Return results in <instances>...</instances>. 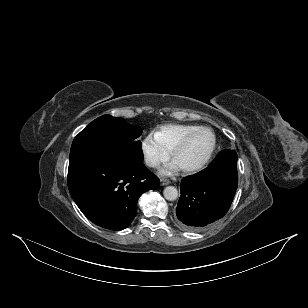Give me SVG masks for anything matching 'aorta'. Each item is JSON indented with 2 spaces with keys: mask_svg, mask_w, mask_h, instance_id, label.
I'll return each mask as SVG.
<instances>
[{
  "mask_svg": "<svg viewBox=\"0 0 308 308\" xmlns=\"http://www.w3.org/2000/svg\"><path fill=\"white\" fill-rule=\"evenodd\" d=\"M164 197L169 200V201H173L176 200L178 197V191L175 187L173 186H167L165 187L164 191H163Z\"/></svg>",
  "mask_w": 308,
  "mask_h": 308,
  "instance_id": "obj_1",
  "label": "aorta"
}]
</instances>
